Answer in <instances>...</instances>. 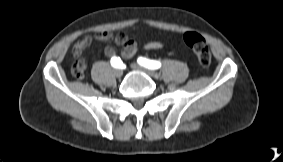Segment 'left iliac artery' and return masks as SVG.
Listing matches in <instances>:
<instances>
[{
  "label": "left iliac artery",
  "instance_id": "44dca946",
  "mask_svg": "<svg viewBox=\"0 0 283 162\" xmlns=\"http://www.w3.org/2000/svg\"><path fill=\"white\" fill-rule=\"evenodd\" d=\"M138 63L148 69H152V70H155V69H158L161 67V63L159 61H155V60H149V59H146V58H143V57H139L138 58Z\"/></svg>",
  "mask_w": 283,
  "mask_h": 162
}]
</instances>
